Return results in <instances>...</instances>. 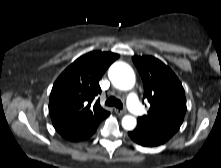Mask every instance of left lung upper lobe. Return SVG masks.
Here are the masks:
<instances>
[{
  "label": "left lung upper lobe",
  "instance_id": "5c2ea615",
  "mask_svg": "<svg viewBox=\"0 0 221 168\" xmlns=\"http://www.w3.org/2000/svg\"><path fill=\"white\" fill-rule=\"evenodd\" d=\"M144 86V98L150 104L138 123L173 136L183 123L186 113L185 92L174 72L152 56H134Z\"/></svg>",
  "mask_w": 221,
  "mask_h": 168
}]
</instances>
